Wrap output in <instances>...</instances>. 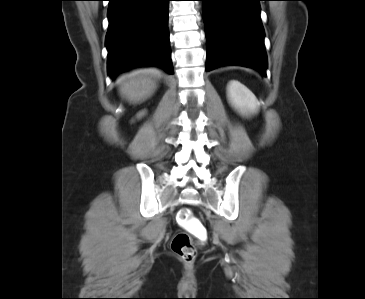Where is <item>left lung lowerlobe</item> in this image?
<instances>
[{
  "label": "left lung lower lobe",
  "mask_w": 365,
  "mask_h": 299,
  "mask_svg": "<svg viewBox=\"0 0 365 299\" xmlns=\"http://www.w3.org/2000/svg\"><path fill=\"white\" fill-rule=\"evenodd\" d=\"M207 38L206 71L225 65L266 75L267 58L260 18L262 0H200Z\"/></svg>",
  "instance_id": "0a47b994"
}]
</instances>
